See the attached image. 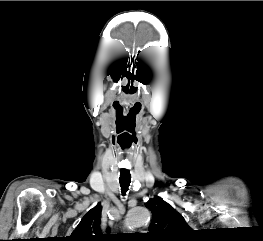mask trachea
Here are the masks:
<instances>
[{"instance_id": "1", "label": "trachea", "mask_w": 263, "mask_h": 241, "mask_svg": "<svg viewBox=\"0 0 263 241\" xmlns=\"http://www.w3.org/2000/svg\"><path fill=\"white\" fill-rule=\"evenodd\" d=\"M119 182L121 186V191L125 194L128 191V188L131 183V174L130 171L120 170Z\"/></svg>"}]
</instances>
